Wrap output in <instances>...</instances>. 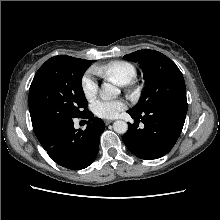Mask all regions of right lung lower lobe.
<instances>
[{"instance_id":"98d812e1","label":"right lung lower lobe","mask_w":220,"mask_h":220,"mask_svg":"<svg viewBox=\"0 0 220 220\" xmlns=\"http://www.w3.org/2000/svg\"><path fill=\"white\" fill-rule=\"evenodd\" d=\"M77 118L89 119L84 131L76 130L73 118H70L36 134L42 147L57 164L73 170L84 169L93 163L100 135L105 129L102 119L93 117L90 111Z\"/></svg>"}]
</instances>
